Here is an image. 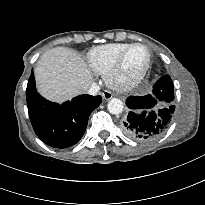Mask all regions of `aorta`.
<instances>
[{
    "mask_svg": "<svg viewBox=\"0 0 205 205\" xmlns=\"http://www.w3.org/2000/svg\"><path fill=\"white\" fill-rule=\"evenodd\" d=\"M123 107V102L118 98H112L107 105L108 111L114 115L121 114Z\"/></svg>",
    "mask_w": 205,
    "mask_h": 205,
    "instance_id": "1",
    "label": "aorta"
}]
</instances>
